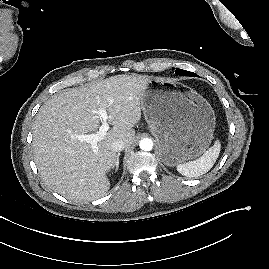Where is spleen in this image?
<instances>
[{
	"mask_svg": "<svg viewBox=\"0 0 269 269\" xmlns=\"http://www.w3.org/2000/svg\"><path fill=\"white\" fill-rule=\"evenodd\" d=\"M221 150L219 140L214 145L203 152V155L194 161L178 164L177 171L186 177H198L207 173L215 164Z\"/></svg>",
	"mask_w": 269,
	"mask_h": 269,
	"instance_id": "1",
	"label": "spleen"
}]
</instances>
